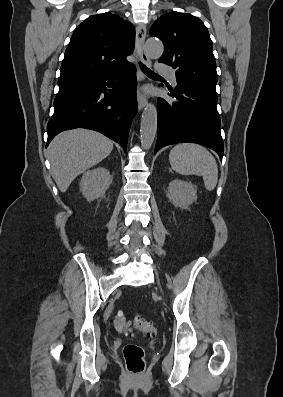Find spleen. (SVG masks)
I'll return each instance as SVG.
<instances>
[{"label": "spleen", "instance_id": "3e777b00", "mask_svg": "<svg viewBox=\"0 0 283 397\" xmlns=\"http://www.w3.org/2000/svg\"><path fill=\"white\" fill-rule=\"evenodd\" d=\"M169 161L177 173L202 176L205 188L208 191L214 190L218 181V166L213 155L203 146L178 144L170 151Z\"/></svg>", "mask_w": 283, "mask_h": 397}]
</instances>
